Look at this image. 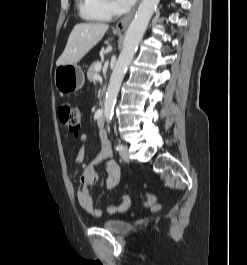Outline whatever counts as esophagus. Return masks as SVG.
<instances>
[{"label": "esophagus", "instance_id": "obj_1", "mask_svg": "<svg viewBox=\"0 0 247 265\" xmlns=\"http://www.w3.org/2000/svg\"><path fill=\"white\" fill-rule=\"evenodd\" d=\"M136 6L126 15L124 16L117 24L116 29L118 31H125L128 27L129 23L131 22L132 18L134 17V14L136 12Z\"/></svg>", "mask_w": 247, "mask_h": 265}]
</instances>
